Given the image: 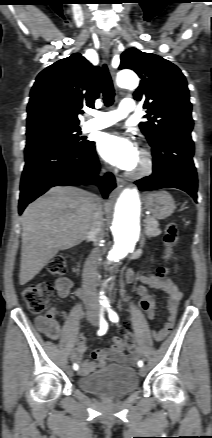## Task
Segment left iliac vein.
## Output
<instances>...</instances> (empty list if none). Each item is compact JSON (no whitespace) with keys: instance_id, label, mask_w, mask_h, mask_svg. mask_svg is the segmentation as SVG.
<instances>
[{"instance_id":"left-iliac-vein-1","label":"left iliac vein","mask_w":212,"mask_h":438,"mask_svg":"<svg viewBox=\"0 0 212 438\" xmlns=\"http://www.w3.org/2000/svg\"><path fill=\"white\" fill-rule=\"evenodd\" d=\"M139 373L141 376H145L147 373V368L146 367H141L139 370Z\"/></svg>"}]
</instances>
